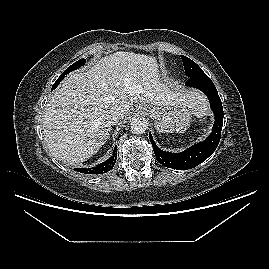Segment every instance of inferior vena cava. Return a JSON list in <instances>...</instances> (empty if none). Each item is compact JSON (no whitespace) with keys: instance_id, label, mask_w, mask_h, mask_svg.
I'll list each match as a JSON object with an SVG mask.
<instances>
[{"instance_id":"inferior-vena-cava-1","label":"inferior vena cava","mask_w":269,"mask_h":269,"mask_svg":"<svg viewBox=\"0 0 269 269\" xmlns=\"http://www.w3.org/2000/svg\"><path fill=\"white\" fill-rule=\"evenodd\" d=\"M124 115L125 112L122 109L112 110L108 116V121L111 125H116L119 121L123 119Z\"/></svg>"}]
</instances>
